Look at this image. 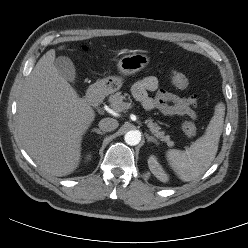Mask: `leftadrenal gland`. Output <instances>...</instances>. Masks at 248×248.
Returning <instances> with one entry per match:
<instances>
[{"mask_svg": "<svg viewBox=\"0 0 248 248\" xmlns=\"http://www.w3.org/2000/svg\"><path fill=\"white\" fill-rule=\"evenodd\" d=\"M145 136L148 142H153L155 144H158L157 140L154 137L149 136L148 134H146Z\"/></svg>", "mask_w": 248, "mask_h": 248, "instance_id": "obj_1", "label": "left adrenal gland"}]
</instances>
